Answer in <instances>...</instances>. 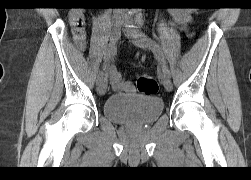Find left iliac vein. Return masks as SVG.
Returning a JSON list of instances; mask_svg holds the SVG:
<instances>
[{
    "label": "left iliac vein",
    "instance_id": "obj_1",
    "mask_svg": "<svg viewBox=\"0 0 251 180\" xmlns=\"http://www.w3.org/2000/svg\"><path fill=\"white\" fill-rule=\"evenodd\" d=\"M128 37L131 39L132 43L144 50L150 49V42L147 36L142 32L129 33ZM161 82L167 91L172 90V82L168 75L163 74L161 76Z\"/></svg>",
    "mask_w": 251,
    "mask_h": 180
}]
</instances>
